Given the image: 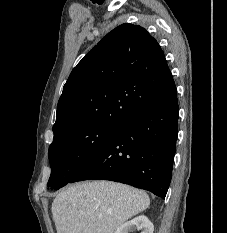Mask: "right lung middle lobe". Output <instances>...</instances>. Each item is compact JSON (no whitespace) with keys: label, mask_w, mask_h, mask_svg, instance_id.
Listing matches in <instances>:
<instances>
[{"label":"right lung middle lobe","mask_w":227,"mask_h":233,"mask_svg":"<svg viewBox=\"0 0 227 233\" xmlns=\"http://www.w3.org/2000/svg\"><path fill=\"white\" fill-rule=\"evenodd\" d=\"M118 127L105 124L84 125L54 136L48 152L52 172L47 186L58 190L67 185Z\"/></svg>","instance_id":"dd1d6c3e"}]
</instances>
